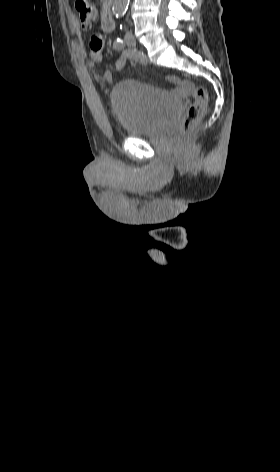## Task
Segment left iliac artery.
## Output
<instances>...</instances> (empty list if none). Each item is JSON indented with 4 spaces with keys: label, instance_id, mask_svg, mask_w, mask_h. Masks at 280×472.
I'll return each instance as SVG.
<instances>
[{
    "label": "left iliac artery",
    "instance_id": "left-iliac-artery-1",
    "mask_svg": "<svg viewBox=\"0 0 280 472\" xmlns=\"http://www.w3.org/2000/svg\"><path fill=\"white\" fill-rule=\"evenodd\" d=\"M114 48L120 50L124 47L123 41L120 38H117L113 44Z\"/></svg>",
    "mask_w": 280,
    "mask_h": 472
}]
</instances>
